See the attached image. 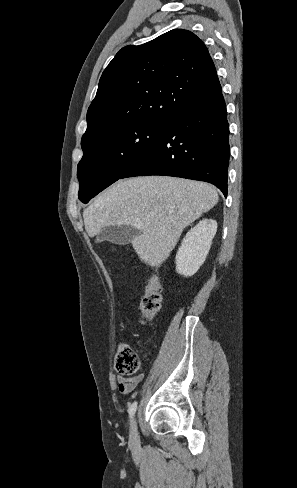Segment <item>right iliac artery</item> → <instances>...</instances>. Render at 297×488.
Wrapping results in <instances>:
<instances>
[{
    "label": "right iliac artery",
    "mask_w": 297,
    "mask_h": 488,
    "mask_svg": "<svg viewBox=\"0 0 297 488\" xmlns=\"http://www.w3.org/2000/svg\"><path fill=\"white\" fill-rule=\"evenodd\" d=\"M136 409H137V402L135 401L129 408L128 412H129V417L130 419L133 418L135 412H136Z\"/></svg>",
    "instance_id": "82829eb1"
}]
</instances>
